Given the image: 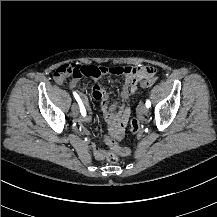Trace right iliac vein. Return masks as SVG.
<instances>
[{
	"label": "right iliac vein",
	"mask_w": 217,
	"mask_h": 217,
	"mask_svg": "<svg viewBox=\"0 0 217 217\" xmlns=\"http://www.w3.org/2000/svg\"><path fill=\"white\" fill-rule=\"evenodd\" d=\"M71 112L74 116H77L79 113V108L76 103H74L71 107Z\"/></svg>",
	"instance_id": "right-iliac-vein-1"
}]
</instances>
